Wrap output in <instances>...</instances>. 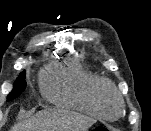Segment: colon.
<instances>
[{"instance_id": "colon-1", "label": "colon", "mask_w": 151, "mask_h": 131, "mask_svg": "<svg viewBox=\"0 0 151 131\" xmlns=\"http://www.w3.org/2000/svg\"><path fill=\"white\" fill-rule=\"evenodd\" d=\"M94 131H111V129L106 126H98L94 129Z\"/></svg>"}]
</instances>
